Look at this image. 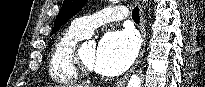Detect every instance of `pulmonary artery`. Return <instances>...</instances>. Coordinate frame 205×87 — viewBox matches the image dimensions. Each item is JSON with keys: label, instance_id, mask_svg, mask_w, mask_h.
<instances>
[{"label": "pulmonary artery", "instance_id": "1", "mask_svg": "<svg viewBox=\"0 0 205 87\" xmlns=\"http://www.w3.org/2000/svg\"><path fill=\"white\" fill-rule=\"evenodd\" d=\"M127 16L128 13L125 7H109L89 16L74 20L71 27L84 37H88L98 27L106 23L126 19Z\"/></svg>", "mask_w": 205, "mask_h": 87}]
</instances>
